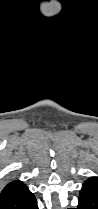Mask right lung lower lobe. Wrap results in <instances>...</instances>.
Instances as JSON below:
<instances>
[{"mask_svg": "<svg viewBox=\"0 0 98 209\" xmlns=\"http://www.w3.org/2000/svg\"><path fill=\"white\" fill-rule=\"evenodd\" d=\"M0 209H38V206L35 196L25 186L0 203Z\"/></svg>", "mask_w": 98, "mask_h": 209, "instance_id": "1", "label": "right lung lower lobe"}]
</instances>
